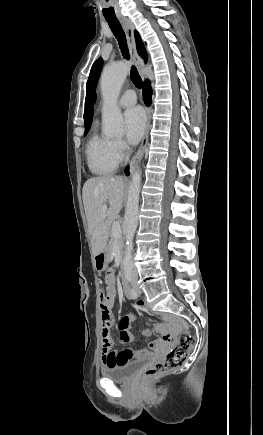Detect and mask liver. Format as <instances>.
Listing matches in <instances>:
<instances>
[{"mask_svg": "<svg viewBox=\"0 0 263 435\" xmlns=\"http://www.w3.org/2000/svg\"><path fill=\"white\" fill-rule=\"evenodd\" d=\"M124 188L121 177L108 176L90 178L83 186V204L94 255L107 248L111 224L122 208ZM103 206H106L105 211Z\"/></svg>", "mask_w": 263, "mask_h": 435, "instance_id": "obj_1", "label": "liver"}]
</instances>
